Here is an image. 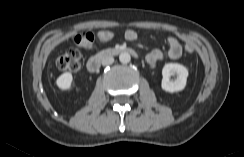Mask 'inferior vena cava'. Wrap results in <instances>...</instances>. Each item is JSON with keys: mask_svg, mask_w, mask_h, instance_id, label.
I'll return each mask as SVG.
<instances>
[{"mask_svg": "<svg viewBox=\"0 0 244 157\" xmlns=\"http://www.w3.org/2000/svg\"><path fill=\"white\" fill-rule=\"evenodd\" d=\"M114 62V58L110 55L104 56L101 60L103 66L111 65Z\"/></svg>", "mask_w": 244, "mask_h": 157, "instance_id": "602c4592", "label": "inferior vena cava"}]
</instances>
